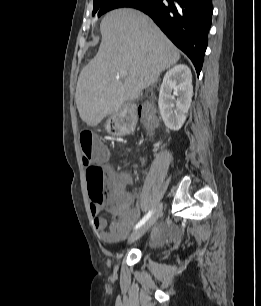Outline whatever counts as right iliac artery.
<instances>
[{"label":"right iliac artery","instance_id":"1","mask_svg":"<svg viewBox=\"0 0 261 306\" xmlns=\"http://www.w3.org/2000/svg\"><path fill=\"white\" fill-rule=\"evenodd\" d=\"M153 210H150L135 226L134 229H138L139 227H141L152 215Z\"/></svg>","mask_w":261,"mask_h":306}]
</instances>
